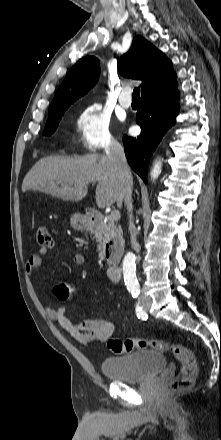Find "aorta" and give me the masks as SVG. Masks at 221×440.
Wrapping results in <instances>:
<instances>
[{"label":"aorta","instance_id":"aorta-1","mask_svg":"<svg viewBox=\"0 0 221 440\" xmlns=\"http://www.w3.org/2000/svg\"><path fill=\"white\" fill-rule=\"evenodd\" d=\"M161 166V160H156L151 170V178L153 180H155L159 176L161 172ZM123 275L127 288H129V290L131 291L138 290L139 284L136 277L135 256L132 253H128L124 258Z\"/></svg>","mask_w":221,"mask_h":440}]
</instances>
